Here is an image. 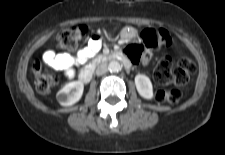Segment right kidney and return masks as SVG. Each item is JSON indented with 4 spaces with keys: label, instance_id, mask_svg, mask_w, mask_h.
<instances>
[{
    "label": "right kidney",
    "instance_id": "1",
    "mask_svg": "<svg viewBox=\"0 0 225 155\" xmlns=\"http://www.w3.org/2000/svg\"><path fill=\"white\" fill-rule=\"evenodd\" d=\"M84 84L73 81L66 84L56 95V99L62 106H71L78 102L83 94Z\"/></svg>",
    "mask_w": 225,
    "mask_h": 155
}]
</instances>
